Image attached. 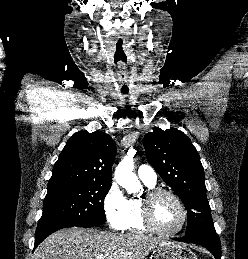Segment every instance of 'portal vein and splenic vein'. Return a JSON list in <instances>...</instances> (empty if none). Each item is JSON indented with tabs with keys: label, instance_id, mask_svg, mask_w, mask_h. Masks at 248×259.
<instances>
[{
	"label": "portal vein and splenic vein",
	"instance_id": "obj_1",
	"mask_svg": "<svg viewBox=\"0 0 248 259\" xmlns=\"http://www.w3.org/2000/svg\"><path fill=\"white\" fill-rule=\"evenodd\" d=\"M96 259H104L103 256H98Z\"/></svg>",
	"mask_w": 248,
	"mask_h": 259
}]
</instances>
